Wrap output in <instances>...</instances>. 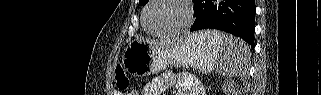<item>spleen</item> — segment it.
<instances>
[{
  "label": "spleen",
  "mask_w": 321,
  "mask_h": 95,
  "mask_svg": "<svg viewBox=\"0 0 321 95\" xmlns=\"http://www.w3.org/2000/svg\"><path fill=\"white\" fill-rule=\"evenodd\" d=\"M210 37L222 42L216 71L227 76H242L246 73L251 57L250 47L241 39L217 31H205Z\"/></svg>",
  "instance_id": "3e777b00"
}]
</instances>
